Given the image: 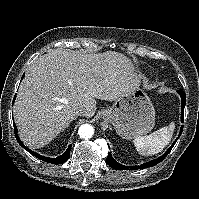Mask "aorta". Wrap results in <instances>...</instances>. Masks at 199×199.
<instances>
[{"instance_id": "aorta-1", "label": "aorta", "mask_w": 199, "mask_h": 199, "mask_svg": "<svg viewBox=\"0 0 199 199\" xmlns=\"http://www.w3.org/2000/svg\"><path fill=\"white\" fill-rule=\"evenodd\" d=\"M78 134L83 139H89L94 134V129L89 124H83L79 127Z\"/></svg>"}]
</instances>
